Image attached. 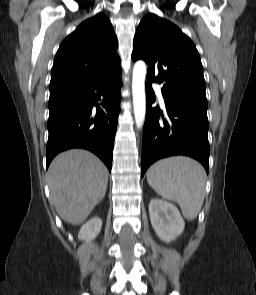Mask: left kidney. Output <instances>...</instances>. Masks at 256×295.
<instances>
[{"mask_svg": "<svg viewBox=\"0 0 256 295\" xmlns=\"http://www.w3.org/2000/svg\"><path fill=\"white\" fill-rule=\"evenodd\" d=\"M152 227L164 242H171L183 233L185 222L177 207L167 201L154 198L149 203Z\"/></svg>", "mask_w": 256, "mask_h": 295, "instance_id": "5707ae66", "label": "left kidney"}]
</instances>
